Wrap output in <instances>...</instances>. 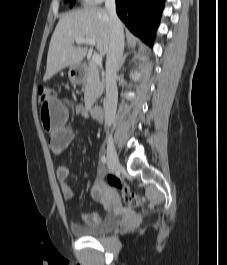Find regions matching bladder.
<instances>
[{
    "mask_svg": "<svg viewBox=\"0 0 227 265\" xmlns=\"http://www.w3.org/2000/svg\"><path fill=\"white\" fill-rule=\"evenodd\" d=\"M120 224V217L114 212H109L97 225L86 226L77 223L71 225L75 236L96 238L116 229Z\"/></svg>",
    "mask_w": 227,
    "mask_h": 265,
    "instance_id": "obj_1",
    "label": "bladder"
}]
</instances>
